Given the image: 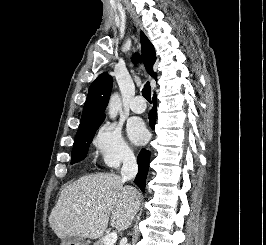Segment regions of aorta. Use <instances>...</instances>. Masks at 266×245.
Returning a JSON list of instances; mask_svg holds the SVG:
<instances>
[{"label": "aorta", "instance_id": "762f6f07", "mask_svg": "<svg viewBox=\"0 0 266 245\" xmlns=\"http://www.w3.org/2000/svg\"><path fill=\"white\" fill-rule=\"evenodd\" d=\"M122 108V102L120 98V94L118 92H114V94H111L110 100L108 102V110L110 114V118H115L118 114V110H121Z\"/></svg>", "mask_w": 266, "mask_h": 245}]
</instances>
